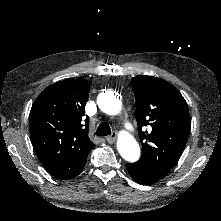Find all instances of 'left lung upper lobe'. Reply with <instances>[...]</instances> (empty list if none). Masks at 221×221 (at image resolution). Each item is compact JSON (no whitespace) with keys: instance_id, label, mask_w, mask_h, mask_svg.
Instances as JSON below:
<instances>
[{"instance_id":"5c2ea615","label":"left lung upper lobe","mask_w":221,"mask_h":221,"mask_svg":"<svg viewBox=\"0 0 221 221\" xmlns=\"http://www.w3.org/2000/svg\"><path fill=\"white\" fill-rule=\"evenodd\" d=\"M136 98V120L143 153L139 162L164 176L186 145L191 119L181 93L167 81L139 75L131 79ZM150 125V133L142 127Z\"/></svg>"}]
</instances>
